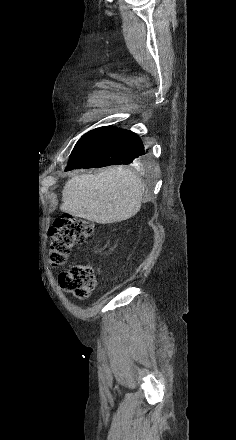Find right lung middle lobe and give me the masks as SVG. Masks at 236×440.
<instances>
[{"instance_id":"1","label":"right lung middle lobe","mask_w":236,"mask_h":440,"mask_svg":"<svg viewBox=\"0 0 236 440\" xmlns=\"http://www.w3.org/2000/svg\"><path fill=\"white\" fill-rule=\"evenodd\" d=\"M143 160H144V158H142V159L140 160V162H143Z\"/></svg>"}]
</instances>
